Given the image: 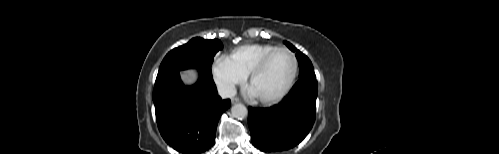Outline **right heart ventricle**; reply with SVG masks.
Here are the masks:
<instances>
[{
  "label": "right heart ventricle",
  "mask_w": 499,
  "mask_h": 154,
  "mask_svg": "<svg viewBox=\"0 0 499 154\" xmlns=\"http://www.w3.org/2000/svg\"><path fill=\"white\" fill-rule=\"evenodd\" d=\"M276 48L271 44H246L232 50L228 58L247 76L265 55Z\"/></svg>",
  "instance_id": "right-heart-ventricle-1"
}]
</instances>
